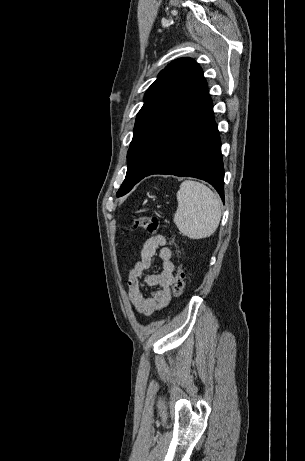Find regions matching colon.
I'll return each instance as SVG.
<instances>
[{
  "instance_id": "1",
  "label": "colon",
  "mask_w": 305,
  "mask_h": 461,
  "mask_svg": "<svg viewBox=\"0 0 305 461\" xmlns=\"http://www.w3.org/2000/svg\"><path fill=\"white\" fill-rule=\"evenodd\" d=\"M130 227L133 229H138V228L146 229L148 232L152 234H156L160 230V221L156 217L141 216V217L134 218ZM171 242L172 243L175 242L174 238H171ZM184 288H185V273L182 267H179L176 272L174 283H173V288H172L173 295L175 297H180L184 292Z\"/></svg>"
}]
</instances>
